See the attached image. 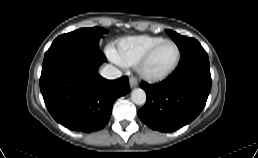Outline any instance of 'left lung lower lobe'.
<instances>
[{
    "label": "left lung lower lobe",
    "mask_w": 258,
    "mask_h": 158,
    "mask_svg": "<svg viewBox=\"0 0 258 158\" xmlns=\"http://www.w3.org/2000/svg\"><path fill=\"white\" fill-rule=\"evenodd\" d=\"M147 102L138 111L143 123L168 132L185 126L204 108L211 90L210 64L199 42L184 53L176 70L156 85L142 83Z\"/></svg>",
    "instance_id": "0a47b994"
}]
</instances>
